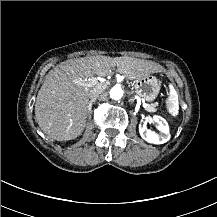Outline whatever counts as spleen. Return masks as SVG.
Masks as SVG:
<instances>
[{
	"instance_id": "3e777b00",
	"label": "spleen",
	"mask_w": 217,
	"mask_h": 217,
	"mask_svg": "<svg viewBox=\"0 0 217 217\" xmlns=\"http://www.w3.org/2000/svg\"><path fill=\"white\" fill-rule=\"evenodd\" d=\"M165 112L171 120H176L179 117V97L177 88L174 85H169L166 88Z\"/></svg>"
}]
</instances>
